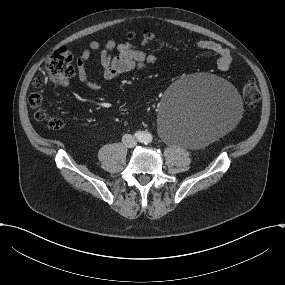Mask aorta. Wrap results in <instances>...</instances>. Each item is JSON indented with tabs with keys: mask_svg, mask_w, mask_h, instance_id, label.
<instances>
[{
	"mask_svg": "<svg viewBox=\"0 0 285 285\" xmlns=\"http://www.w3.org/2000/svg\"><path fill=\"white\" fill-rule=\"evenodd\" d=\"M152 140V135L150 133H145L143 136V142H150Z\"/></svg>",
	"mask_w": 285,
	"mask_h": 285,
	"instance_id": "1",
	"label": "aorta"
}]
</instances>
